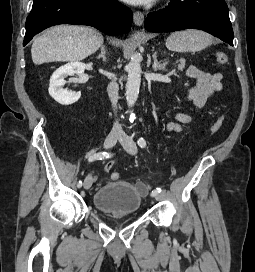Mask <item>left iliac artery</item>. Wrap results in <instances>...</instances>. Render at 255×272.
I'll list each match as a JSON object with an SVG mask.
<instances>
[{"mask_svg":"<svg viewBox=\"0 0 255 272\" xmlns=\"http://www.w3.org/2000/svg\"><path fill=\"white\" fill-rule=\"evenodd\" d=\"M138 145L141 147V148H144L146 146V141L143 137H140L137 141ZM162 189L161 188H156V190H153L152 191V196H155L157 193L161 192Z\"/></svg>","mask_w":255,"mask_h":272,"instance_id":"left-iliac-artery-1","label":"left iliac artery"}]
</instances>
